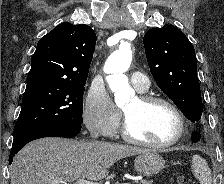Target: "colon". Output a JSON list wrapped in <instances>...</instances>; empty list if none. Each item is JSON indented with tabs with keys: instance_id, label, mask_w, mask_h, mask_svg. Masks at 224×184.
<instances>
[{
	"instance_id": "colon-1",
	"label": "colon",
	"mask_w": 224,
	"mask_h": 184,
	"mask_svg": "<svg viewBox=\"0 0 224 184\" xmlns=\"http://www.w3.org/2000/svg\"><path fill=\"white\" fill-rule=\"evenodd\" d=\"M178 184H191V183L185 176H181L178 179Z\"/></svg>"
}]
</instances>
